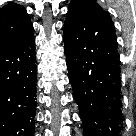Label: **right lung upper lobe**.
<instances>
[{"mask_svg":"<svg viewBox=\"0 0 136 136\" xmlns=\"http://www.w3.org/2000/svg\"><path fill=\"white\" fill-rule=\"evenodd\" d=\"M32 30L33 25L23 6L9 3L0 8V46L23 41Z\"/></svg>","mask_w":136,"mask_h":136,"instance_id":"cb5924a9","label":"right lung upper lobe"}]
</instances>
